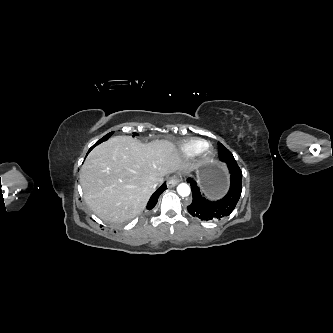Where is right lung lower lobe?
Masks as SVG:
<instances>
[{
	"label": "right lung lower lobe",
	"mask_w": 333,
	"mask_h": 333,
	"mask_svg": "<svg viewBox=\"0 0 333 333\" xmlns=\"http://www.w3.org/2000/svg\"><path fill=\"white\" fill-rule=\"evenodd\" d=\"M100 142V140L95 144V145H93L91 148H90V150L93 148V147H95L96 145H98V143ZM90 150H89V152H90ZM88 152V153H89ZM166 189V184L164 183L152 196H151V198L149 199V201H148V204H147V206H146V208L148 209V210H151L155 205H156V203H157V201H158V198H159V196H160V194L164 191Z\"/></svg>",
	"instance_id": "98d812e1"
}]
</instances>
